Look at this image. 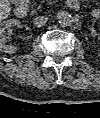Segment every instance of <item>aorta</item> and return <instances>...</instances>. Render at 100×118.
I'll list each match as a JSON object with an SVG mask.
<instances>
[{
	"instance_id": "aorta-1",
	"label": "aorta",
	"mask_w": 100,
	"mask_h": 118,
	"mask_svg": "<svg viewBox=\"0 0 100 118\" xmlns=\"http://www.w3.org/2000/svg\"><path fill=\"white\" fill-rule=\"evenodd\" d=\"M56 18L59 24L63 27L70 26L73 22L71 14L66 11L58 12Z\"/></svg>"
}]
</instances>
